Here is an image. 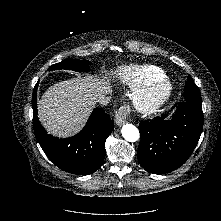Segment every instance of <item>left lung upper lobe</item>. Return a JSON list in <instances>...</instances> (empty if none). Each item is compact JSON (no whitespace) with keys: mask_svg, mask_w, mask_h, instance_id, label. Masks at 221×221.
Here are the masks:
<instances>
[{"mask_svg":"<svg viewBox=\"0 0 221 221\" xmlns=\"http://www.w3.org/2000/svg\"><path fill=\"white\" fill-rule=\"evenodd\" d=\"M185 101L191 103H201V94L199 88L194 83L191 76L188 77V80L185 85Z\"/></svg>","mask_w":221,"mask_h":221,"instance_id":"obj_1","label":"left lung upper lobe"}]
</instances>
